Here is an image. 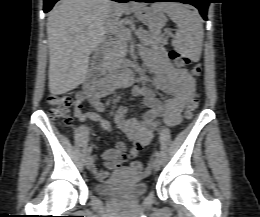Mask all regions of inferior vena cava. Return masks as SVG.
<instances>
[{
	"instance_id": "inferior-vena-cava-1",
	"label": "inferior vena cava",
	"mask_w": 260,
	"mask_h": 217,
	"mask_svg": "<svg viewBox=\"0 0 260 217\" xmlns=\"http://www.w3.org/2000/svg\"><path fill=\"white\" fill-rule=\"evenodd\" d=\"M120 17H121V12L119 11L115 3H113L109 20H108L107 29H106V33L110 37L116 35L123 28Z\"/></svg>"
}]
</instances>
